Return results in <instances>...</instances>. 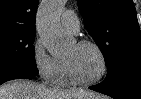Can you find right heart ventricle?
Instances as JSON below:
<instances>
[{"label": "right heart ventricle", "mask_w": 141, "mask_h": 99, "mask_svg": "<svg viewBox=\"0 0 141 99\" xmlns=\"http://www.w3.org/2000/svg\"><path fill=\"white\" fill-rule=\"evenodd\" d=\"M58 60V59H57ZM59 64V73L56 77L54 83L58 86H66L71 83V80L67 73V68L64 60H58Z\"/></svg>", "instance_id": "1"}]
</instances>
